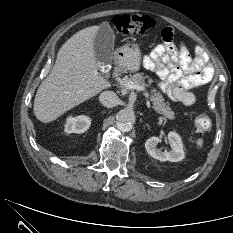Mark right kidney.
I'll list each match as a JSON object with an SVG mask.
<instances>
[{
    "label": "right kidney",
    "instance_id": "ca27d5eb",
    "mask_svg": "<svg viewBox=\"0 0 233 233\" xmlns=\"http://www.w3.org/2000/svg\"><path fill=\"white\" fill-rule=\"evenodd\" d=\"M91 125V120L89 117L85 116V115H80L77 117H72L69 116L66 119V123L64 125L65 127V132L66 133H84L85 131H87L89 129Z\"/></svg>",
    "mask_w": 233,
    "mask_h": 233
}]
</instances>
